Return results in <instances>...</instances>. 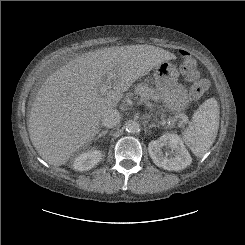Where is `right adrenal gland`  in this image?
Here are the masks:
<instances>
[{"instance_id":"1","label":"right adrenal gland","mask_w":245,"mask_h":245,"mask_svg":"<svg viewBox=\"0 0 245 245\" xmlns=\"http://www.w3.org/2000/svg\"><path fill=\"white\" fill-rule=\"evenodd\" d=\"M107 133H108V130L101 131L94 140L95 141L98 140L99 138L105 136Z\"/></svg>"}]
</instances>
